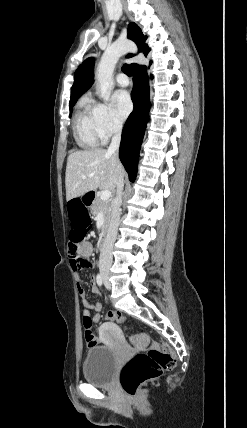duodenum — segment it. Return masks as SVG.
Here are the masks:
<instances>
[{"mask_svg": "<svg viewBox=\"0 0 247 428\" xmlns=\"http://www.w3.org/2000/svg\"><path fill=\"white\" fill-rule=\"evenodd\" d=\"M93 197H94V195L91 192H89V193L86 194V202H87V204H90L92 202ZM107 238H108V228L106 227L102 231L100 239H99V243H98L99 249L101 251L104 250V248L106 246Z\"/></svg>", "mask_w": 247, "mask_h": 428, "instance_id": "obj_1", "label": "duodenum"}]
</instances>
